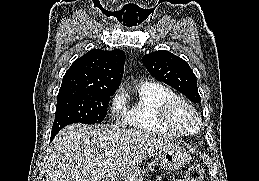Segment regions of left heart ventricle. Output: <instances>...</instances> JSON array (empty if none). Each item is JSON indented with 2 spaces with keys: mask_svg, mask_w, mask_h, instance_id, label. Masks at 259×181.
<instances>
[{
  "mask_svg": "<svg viewBox=\"0 0 259 181\" xmlns=\"http://www.w3.org/2000/svg\"><path fill=\"white\" fill-rule=\"evenodd\" d=\"M178 120L186 128H192L194 125V120H193L192 116L185 109H182L179 111Z\"/></svg>",
  "mask_w": 259,
  "mask_h": 181,
  "instance_id": "1",
  "label": "left heart ventricle"
}]
</instances>
